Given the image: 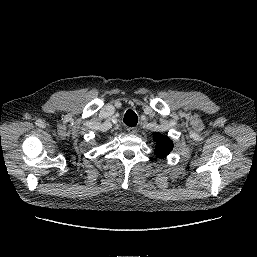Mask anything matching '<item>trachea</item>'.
<instances>
[{
	"instance_id": "obj_1",
	"label": "trachea",
	"mask_w": 257,
	"mask_h": 257,
	"mask_svg": "<svg viewBox=\"0 0 257 257\" xmlns=\"http://www.w3.org/2000/svg\"><path fill=\"white\" fill-rule=\"evenodd\" d=\"M123 121L127 126L133 127L137 124L138 117L133 110H127V112L124 115Z\"/></svg>"
}]
</instances>
